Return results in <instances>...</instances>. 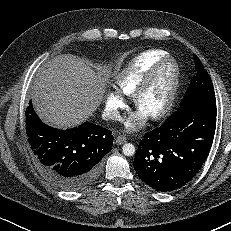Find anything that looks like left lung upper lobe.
<instances>
[{"label": "left lung upper lobe", "mask_w": 231, "mask_h": 231, "mask_svg": "<svg viewBox=\"0 0 231 231\" xmlns=\"http://www.w3.org/2000/svg\"><path fill=\"white\" fill-rule=\"evenodd\" d=\"M194 60L196 62L195 69L197 70V75L191 81L180 107L191 102L215 100V92L209 74L203 68L200 59L196 55H194Z\"/></svg>", "instance_id": "obj_1"}]
</instances>
